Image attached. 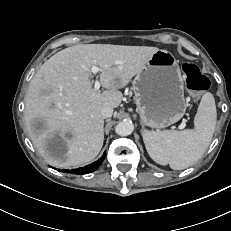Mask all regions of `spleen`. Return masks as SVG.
<instances>
[{"mask_svg":"<svg viewBox=\"0 0 231 231\" xmlns=\"http://www.w3.org/2000/svg\"><path fill=\"white\" fill-rule=\"evenodd\" d=\"M216 118L214 97L206 92L194 118V129L142 132L149 156L160 165L169 164L174 170L193 165L202 157L211 142Z\"/></svg>","mask_w":231,"mask_h":231,"instance_id":"obj_1","label":"spleen"}]
</instances>
